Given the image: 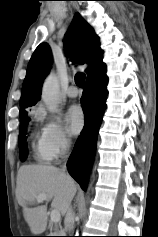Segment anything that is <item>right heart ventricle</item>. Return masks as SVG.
<instances>
[{
    "label": "right heart ventricle",
    "mask_w": 158,
    "mask_h": 237,
    "mask_svg": "<svg viewBox=\"0 0 158 237\" xmlns=\"http://www.w3.org/2000/svg\"><path fill=\"white\" fill-rule=\"evenodd\" d=\"M32 148L34 151L35 158L43 163H47L51 160V157L46 153L42 144L41 134L37 129H34L32 134Z\"/></svg>",
    "instance_id": "1"
}]
</instances>
